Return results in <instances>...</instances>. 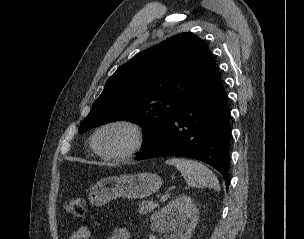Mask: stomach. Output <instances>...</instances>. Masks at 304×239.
<instances>
[{
  "mask_svg": "<svg viewBox=\"0 0 304 239\" xmlns=\"http://www.w3.org/2000/svg\"><path fill=\"white\" fill-rule=\"evenodd\" d=\"M161 178L150 172L111 176L97 182L89 192L92 205L103 206L117 197L145 198L159 190Z\"/></svg>",
  "mask_w": 304,
  "mask_h": 239,
  "instance_id": "1",
  "label": "stomach"
}]
</instances>
